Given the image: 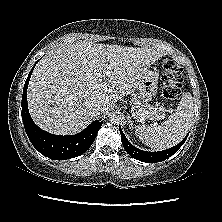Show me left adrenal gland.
Instances as JSON below:
<instances>
[{
    "instance_id": "obj_1",
    "label": "left adrenal gland",
    "mask_w": 222,
    "mask_h": 222,
    "mask_svg": "<svg viewBox=\"0 0 222 222\" xmlns=\"http://www.w3.org/2000/svg\"><path fill=\"white\" fill-rule=\"evenodd\" d=\"M127 118H128V125H129V127L131 128V127L133 126V122H132V120H131L132 118H131L130 115H128Z\"/></svg>"
}]
</instances>
